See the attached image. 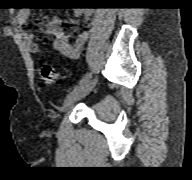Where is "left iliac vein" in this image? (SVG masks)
<instances>
[{"label": "left iliac vein", "instance_id": "4c4485c4", "mask_svg": "<svg viewBox=\"0 0 192 180\" xmlns=\"http://www.w3.org/2000/svg\"><path fill=\"white\" fill-rule=\"evenodd\" d=\"M97 83V78H93L91 80H88L84 84L78 86L76 89L71 91L64 101L65 106H70L74 102L80 100L81 98L85 97L87 94H89L94 86Z\"/></svg>", "mask_w": 192, "mask_h": 180}]
</instances>
